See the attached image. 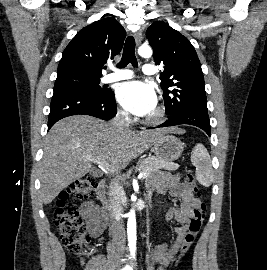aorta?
Wrapping results in <instances>:
<instances>
[{"instance_id": "1", "label": "aorta", "mask_w": 267, "mask_h": 270, "mask_svg": "<svg viewBox=\"0 0 267 270\" xmlns=\"http://www.w3.org/2000/svg\"><path fill=\"white\" fill-rule=\"evenodd\" d=\"M138 54L144 58L152 56V49L148 45H142L138 49ZM127 235L131 255L134 257L136 252V214L135 210L131 209L128 213Z\"/></svg>"}]
</instances>
